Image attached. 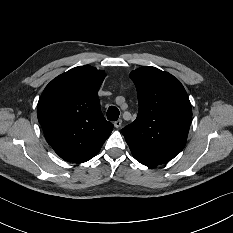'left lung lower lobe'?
Returning <instances> with one entry per match:
<instances>
[{"mask_svg":"<svg viewBox=\"0 0 233 233\" xmlns=\"http://www.w3.org/2000/svg\"><path fill=\"white\" fill-rule=\"evenodd\" d=\"M130 150L134 156V158L139 161L140 163L149 166V167H155L159 164H165L171 159L164 158L162 156L153 154L151 152H148L146 150L141 149L140 147L128 143Z\"/></svg>","mask_w":233,"mask_h":233,"instance_id":"obj_1","label":"left lung lower lobe"}]
</instances>
